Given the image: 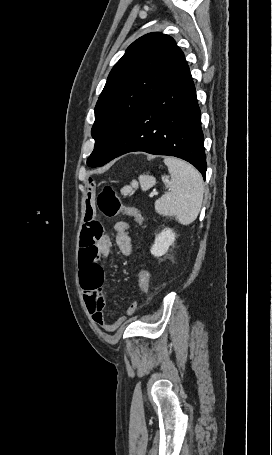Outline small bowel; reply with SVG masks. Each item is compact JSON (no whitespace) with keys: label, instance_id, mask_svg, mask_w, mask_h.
I'll return each instance as SVG.
<instances>
[{"label":"small bowel","instance_id":"c3829d8e","mask_svg":"<svg viewBox=\"0 0 272 455\" xmlns=\"http://www.w3.org/2000/svg\"><path fill=\"white\" fill-rule=\"evenodd\" d=\"M89 186H92L90 180ZM115 242L122 255L129 257L132 252V239L129 225L120 221L114 226ZM111 248L109 236L103 233L101 224L93 217L91 209L86 206L84 224L80 235V281L84 290V301L93 320L104 330L113 332L124 322L125 316L115 321H108L105 314L106 302L103 292L104 272L101 259L108 256ZM132 303L127 313L135 309Z\"/></svg>","mask_w":272,"mask_h":455}]
</instances>
